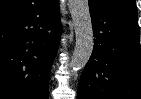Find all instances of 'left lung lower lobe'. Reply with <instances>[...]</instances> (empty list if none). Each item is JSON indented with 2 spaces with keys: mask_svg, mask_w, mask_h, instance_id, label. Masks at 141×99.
Segmentation results:
<instances>
[{
  "mask_svg": "<svg viewBox=\"0 0 141 99\" xmlns=\"http://www.w3.org/2000/svg\"><path fill=\"white\" fill-rule=\"evenodd\" d=\"M94 49L77 99H141V47L135 7L89 0Z\"/></svg>",
  "mask_w": 141,
  "mask_h": 99,
  "instance_id": "1",
  "label": "left lung lower lobe"
}]
</instances>
